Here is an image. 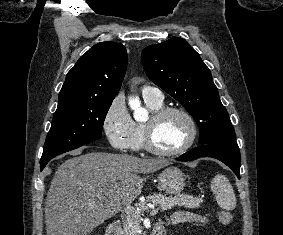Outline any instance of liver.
Wrapping results in <instances>:
<instances>
[{"label":"liver","instance_id":"6515ba94","mask_svg":"<svg viewBox=\"0 0 283 235\" xmlns=\"http://www.w3.org/2000/svg\"><path fill=\"white\" fill-rule=\"evenodd\" d=\"M80 154L81 150L72 152L75 157L55 172L45 203L47 235H88L140 195L139 173L170 164L127 154Z\"/></svg>","mask_w":283,"mask_h":235}]
</instances>
